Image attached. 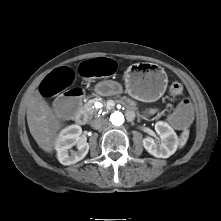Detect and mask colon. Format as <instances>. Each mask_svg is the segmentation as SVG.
<instances>
[{"mask_svg":"<svg viewBox=\"0 0 221 221\" xmlns=\"http://www.w3.org/2000/svg\"><path fill=\"white\" fill-rule=\"evenodd\" d=\"M115 64L112 60L104 58L84 63L80 70L86 76H104L113 72ZM74 73L69 68H60L48 74L42 81L40 92L46 97L59 94L74 81ZM169 91L172 95H180L183 86L174 82L170 85ZM85 98V90L80 85H73L69 90L61 94L57 103L56 111L60 117L68 118L74 114L75 109L82 106ZM195 105L188 99H184L180 106L169 116L170 123L176 128H185L194 122Z\"/></svg>","mask_w":221,"mask_h":221,"instance_id":"5ec220e1","label":"colon"}]
</instances>
